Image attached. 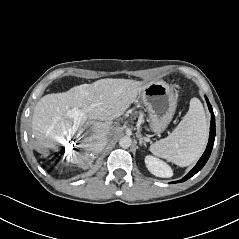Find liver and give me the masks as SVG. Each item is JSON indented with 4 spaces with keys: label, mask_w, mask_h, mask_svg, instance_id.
I'll return each mask as SVG.
<instances>
[{
    "label": "liver",
    "mask_w": 239,
    "mask_h": 239,
    "mask_svg": "<svg viewBox=\"0 0 239 239\" xmlns=\"http://www.w3.org/2000/svg\"><path fill=\"white\" fill-rule=\"evenodd\" d=\"M143 85L144 82L132 79L107 78L75 86L67 92L43 96L34 108L31 121L38 150L56 149V145L65 140L68 129L73 126V119L67 112L79 108L86 115L87 125H92V133L83 139L86 153H74L71 161L79 165L90 164L89 153H98L94 149L97 140L110 134L112 121L130 107Z\"/></svg>",
    "instance_id": "1"
}]
</instances>
